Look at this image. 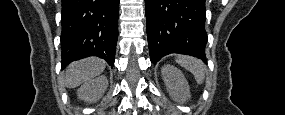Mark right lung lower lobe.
I'll use <instances>...</instances> for the list:
<instances>
[{"mask_svg":"<svg viewBox=\"0 0 285 115\" xmlns=\"http://www.w3.org/2000/svg\"><path fill=\"white\" fill-rule=\"evenodd\" d=\"M119 0H62V68L88 56L113 67Z\"/></svg>","mask_w":285,"mask_h":115,"instance_id":"98d812e1","label":"right lung lower lobe"}]
</instances>
